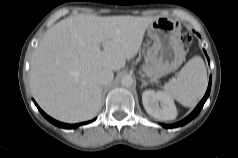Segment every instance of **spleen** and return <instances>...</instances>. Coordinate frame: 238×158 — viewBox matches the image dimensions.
<instances>
[{
    "label": "spleen",
    "instance_id": "1",
    "mask_svg": "<svg viewBox=\"0 0 238 158\" xmlns=\"http://www.w3.org/2000/svg\"><path fill=\"white\" fill-rule=\"evenodd\" d=\"M207 87V71L200 56L190 59L173 79L164 85V93L186 107L194 106Z\"/></svg>",
    "mask_w": 238,
    "mask_h": 158
}]
</instances>
